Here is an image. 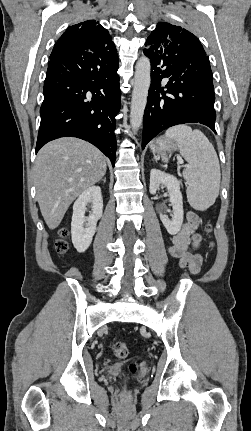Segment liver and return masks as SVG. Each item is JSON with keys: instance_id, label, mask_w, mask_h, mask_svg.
Segmentation results:
<instances>
[{"instance_id": "obj_1", "label": "liver", "mask_w": 251, "mask_h": 431, "mask_svg": "<svg viewBox=\"0 0 251 431\" xmlns=\"http://www.w3.org/2000/svg\"><path fill=\"white\" fill-rule=\"evenodd\" d=\"M106 158L92 144L77 138L47 143L38 153L34 177L41 214L54 230L71 203L106 173Z\"/></svg>"}]
</instances>
